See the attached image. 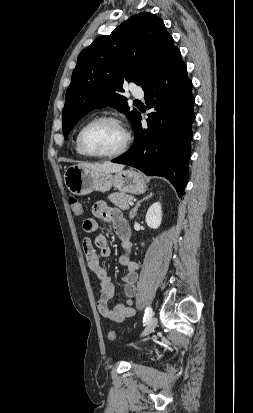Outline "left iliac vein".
Here are the masks:
<instances>
[{
    "label": "left iliac vein",
    "mask_w": 253,
    "mask_h": 413,
    "mask_svg": "<svg viewBox=\"0 0 253 413\" xmlns=\"http://www.w3.org/2000/svg\"><path fill=\"white\" fill-rule=\"evenodd\" d=\"M156 325H157V318L153 316L147 321L146 327L144 328L141 336H146L150 334L155 329Z\"/></svg>",
    "instance_id": "obj_1"
}]
</instances>
